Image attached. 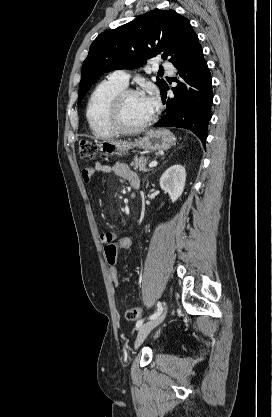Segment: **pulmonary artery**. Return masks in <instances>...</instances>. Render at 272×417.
Returning a JSON list of instances; mask_svg holds the SVG:
<instances>
[{
	"instance_id": "pulmonary-artery-1",
	"label": "pulmonary artery",
	"mask_w": 272,
	"mask_h": 417,
	"mask_svg": "<svg viewBox=\"0 0 272 417\" xmlns=\"http://www.w3.org/2000/svg\"><path fill=\"white\" fill-rule=\"evenodd\" d=\"M162 67L172 71V65L168 62H163ZM110 78L126 87L128 85L130 75L125 70H116L110 75Z\"/></svg>"
}]
</instances>
